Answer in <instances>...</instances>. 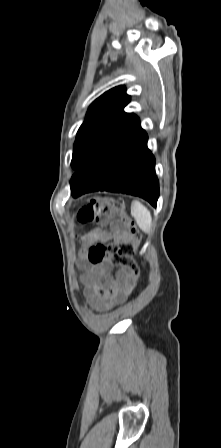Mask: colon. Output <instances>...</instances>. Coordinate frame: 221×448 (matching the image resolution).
Returning a JSON list of instances; mask_svg holds the SVG:
<instances>
[{
	"mask_svg": "<svg viewBox=\"0 0 221 448\" xmlns=\"http://www.w3.org/2000/svg\"><path fill=\"white\" fill-rule=\"evenodd\" d=\"M121 201L107 196L93 198L78 212V220L82 224H92L111 217V224L122 225L128 236L123 242H115L109 246L95 244L89 247L86 257L90 264L110 262L125 268L138 282L140 267L135 260L137 247L141 242V234L134 222L123 211Z\"/></svg>",
	"mask_w": 221,
	"mask_h": 448,
	"instance_id": "colon-1",
	"label": "colon"
}]
</instances>
